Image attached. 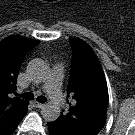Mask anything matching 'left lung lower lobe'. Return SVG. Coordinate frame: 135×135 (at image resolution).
Wrapping results in <instances>:
<instances>
[{
  "label": "left lung lower lobe",
  "instance_id": "0a47b994",
  "mask_svg": "<svg viewBox=\"0 0 135 135\" xmlns=\"http://www.w3.org/2000/svg\"><path fill=\"white\" fill-rule=\"evenodd\" d=\"M48 130L50 135H77L67 130L66 128L60 126L55 121L48 123Z\"/></svg>",
  "mask_w": 135,
  "mask_h": 135
}]
</instances>
